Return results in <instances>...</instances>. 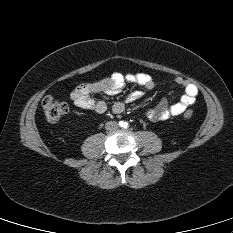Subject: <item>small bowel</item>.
Masks as SVG:
<instances>
[{
  "label": "small bowel",
  "instance_id": "obj_1",
  "mask_svg": "<svg viewBox=\"0 0 233 233\" xmlns=\"http://www.w3.org/2000/svg\"><path fill=\"white\" fill-rule=\"evenodd\" d=\"M174 82L184 89L181 99L172 105H168L167 100L162 99L157 106L146 111V117L150 121L158 122L173 116H179L195 103L198 95L197 86L181 76H176ZM125 83H134L146 89H152L155 86V82L149 74L136 73L124 75L120 72H114L103 80L78 85L70 93V98L78 108L101 114L106 111L107 105L104 101L94 100L92 96L98 93L115 95L121 91ZM142 94L140 90L133 91L128 96L127 102L136 101ZM124 109L125 104L121 101L115 102L112 106V111L115 114L122 113Z\"/></svg>",
  "mask_w": 233,
  "mask_h": 233
}]
</instances>
